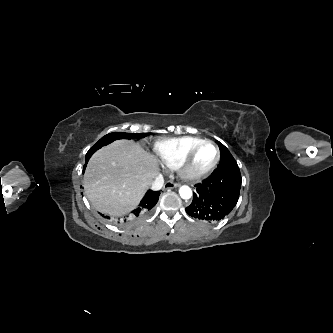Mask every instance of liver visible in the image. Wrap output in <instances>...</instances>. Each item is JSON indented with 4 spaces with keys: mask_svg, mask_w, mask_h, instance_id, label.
I'll list each match as a JSON object with an SVG mask.
<instances>
[{
    "mask_svg": "<svg viewBox=\"0 0 333 333\" xmlns=\"http://www.w3.org/2000/svg\"><path fill=\"white\" fill-rule=\"evenodd\" d=\"M155 157L130 140H117L90 158L83 187L101 213L121 216L134 209L158 175Z\"/></svg>",
    "mask_w": 333,
    "mask_h": 333,
    "instance_id": "liver-1",
    "label": "liver"
}]
</instances>
